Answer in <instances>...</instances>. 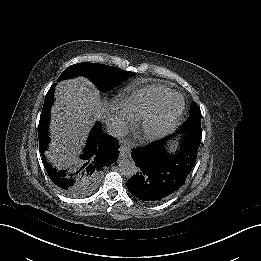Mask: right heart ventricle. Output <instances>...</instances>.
<instances>
[{"instance_id":"obj_1","label":"right heart ventricle","mask_w":261,"mask_h":261,"mask_svg":"<svg viewBox=\"0 0 261 261\" xmlns=\"http://www.w3.org/2000/svg\"><path fill=\"white\" fill-rule=\"evenodd\" d=\"M173 93L172 89L159 84L134 88L121 97L120 107L132 119L139 121L158 110Z\"/></svg>"}]
</instances>
